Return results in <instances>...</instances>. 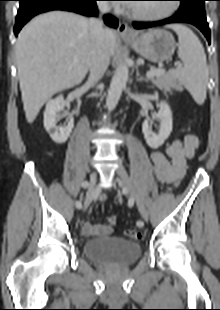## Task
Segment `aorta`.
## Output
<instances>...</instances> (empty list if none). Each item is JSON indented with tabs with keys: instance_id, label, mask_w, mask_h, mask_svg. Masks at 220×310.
Segmentation results:
<instances>
[{
	"instance_id": "762f6f07",
	"label": "aorta",
	"mask_w": 220,
	"mask_h": 310,
	"mask_svg": "<svg viewBox=\"0 0 220 310\" xmlns=\"http://www.w3.org/2000/svg\"><path fill=\"white\" fill-rule=\"evenodd\" d=\"M128 76H129L128 66L127 64L123 63L116 69V72L110 84V88L106 98V105L108 110L111 111L116 107L122 94V91L126 86Z\"/></svg>"
}]
</instances>
